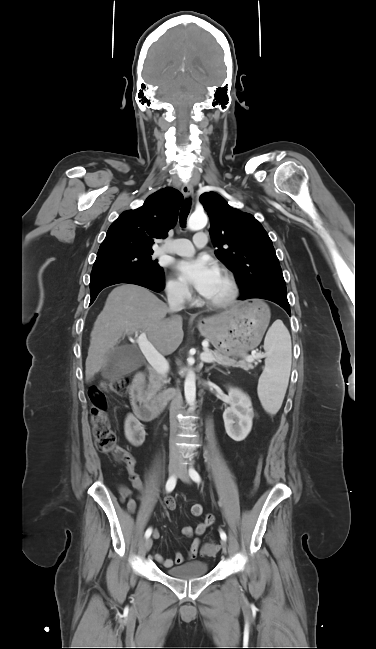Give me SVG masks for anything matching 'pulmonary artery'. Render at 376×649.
I'll use <instances>...</instances> for the list:
<instances>
[{
    "instance_id": "1",
    "label": "pulmonary artery",
    "mask_w": 376,
    "mask_h": 649,
    "mask_svg": "<svg viewBox=\"0 0 376 649\" xmlns=\"http://www.w3.org/2000/svg\"><path fill=\"white\" fill-rule=\"evenodd\" d=\"M208 242L207 234L205 232H198L194 238L193 242L188 239L179 238L161 246L158 251L160 253H170L181 256L192 255L196 248H203Z\"/></svg>"
}]
</instances>
